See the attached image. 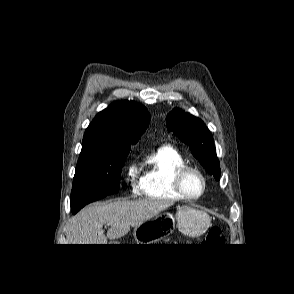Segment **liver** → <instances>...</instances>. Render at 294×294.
Wrapping results in <instances>:
<instances>
[{
	"instance_id": "obj_1",
	"label": "liver",
	"mask_w": 294,
	"mask_h": 294,
	"mask_svg": "<svg viewBox=\"0 0 294 294\" xmlns=\"http://www.w3.org/2000/svg\"><path fill=\"white\" fill-rule=\"evenodd\" d=\"M172 205L170 201L154 199L122 200L97 203L82 209L67 225L69 244H107V239H118L136 227L152 219ZM109 223L107 235L103 225Z\"/></svg>"
}]
</instances>
